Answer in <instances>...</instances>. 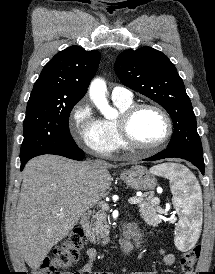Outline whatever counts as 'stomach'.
I'll use <instances>...</instances> for the list:
<instances>
[{"label":"stomach","mask_w":215,"mask_h":274,"mask_svg":"<svg viewBox=\"0 0 215 274\" xmlns=\"http://www.w3.org/2000/svg\"><path fill=\"white\" fill-rule=\"evenodd\" d=\"M120 177L128 186L140 191L153 190L157 185L155 175L141 165L132 166L130 169L124 170Z\"/></svg>","instance_id":"obj_1"}]
</instances>
